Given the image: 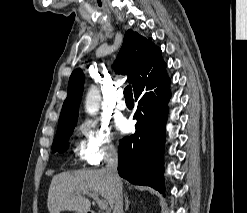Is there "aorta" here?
I'll list each match as a JSON object with an SVG mask.
<instances>
[{
    "mask_svg": "<svg viewBox=\"0 0 247 213\" xmlns=\"http://www.w3.org/2000/svg\"><path fill=\"white\" fill-rule=\"evenodd\" d=\"M101 101L100 91L97 87L92 86L86 96L85 109L90 115L96 114L99 110V103Z\"/></svg>",
    "mask_w": 247,
    "mask_h": 213,
    "instance_id": "aorta-1",
    "label": "aorta"
}]
</instances>
